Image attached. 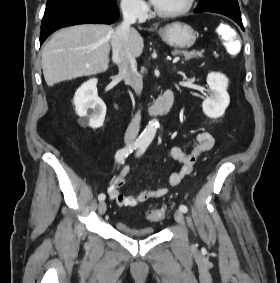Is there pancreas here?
I'll return each mask as SVG.
<instances>
[{
    "instance_id": "cf45deb5",
    "label": "pancreas",
    "mask_w": 280,
    "mask_h": 283,
    "mask_svg": "<svg viewBox=\"0 0 280 283\" xmlns=\"http://www.w3.org/2000/svg\"><path fill=\"white\" fill-rule=\"evenodd\" d=\"M204 53V50L201 51H196V50H192V51H180V50H175L172 52L173 55H183L185 57L186 61H189L190 59L193 58H200L202 57Z\"/></svg>"
}]
</instances>
